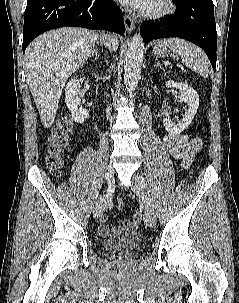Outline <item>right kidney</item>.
<instances>
[{"label": "right kidney", "instance_id": "obj_1", "mask_svg": "<svg viewBox=\"0 0 239 303\" xmlns=\"http://www.w3.org/2000/svg\"><path fill=\"white\" fill-rule=\"evenodd\" d=\"M80 92V83L77 79H71L65 88L66 106L71 112L72 119L77 123H84L89 117V112L86 109H78L81 99L78 97Z\"/></svg>", "mask_w": 239, "mask_h": 303}]
</instances>
